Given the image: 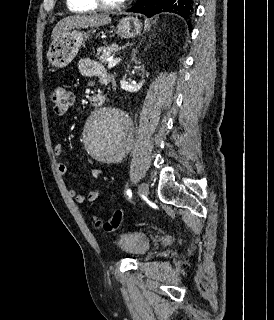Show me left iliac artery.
Wrapping results in <instances>:
<instances>
[{
	"instance_id": "1",
	"label": "left iliac artery",
	"mask_w": 274,
	"mask_h": 320,
	"mask_svg": "<svg viewBox=\"0 0 274 320\" xmlns=\"http://www.w3.org/2000/svg\"><path fill=\"white\" fill-rule=\"evenodd\" d=\"M126 193H127V195H128V197H129V198H131V197H132V192H131V190H130V189H128V190L126 191Z\"/></svg>"
}]
</instances>
